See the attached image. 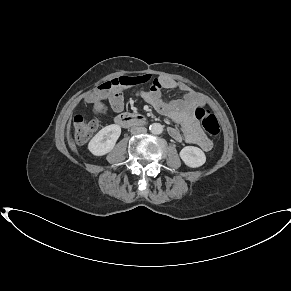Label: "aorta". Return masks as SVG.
Here are the masks:
<instances>
[{
  "label": "aorta",
  "mask_w": 291,
  "mask_h": 291,
  "mask_svg": "<svg viewBox=\"0 0 291 291\" xmlns=\"http://www.w3.org/2000/svg\"><path fill=\"white\" fill-rule=\"evenodd\" d=\"M153 134H161L163 132V126L160 123H153L149 127Z\"/></svg>",
  "instance_id": "aorta-1"
}]
</instances>
